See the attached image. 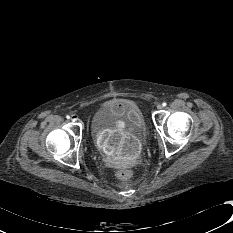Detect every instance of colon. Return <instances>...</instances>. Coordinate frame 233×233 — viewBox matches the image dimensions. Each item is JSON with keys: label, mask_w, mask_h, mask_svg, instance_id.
<instances>
[{"label": "colon", "mask_w": 233, "mask_h": 233, "mask_svg": "<svg viewBox=\"0 0 233 233\" xmlns=\"http://www.w3.org/2000/svg\"><path fill=\"white\" fill-rule=\"evenodd\" d=\"M116 176L121 181H129L132 178V173L127 169H120L117 171Z\"/></svg>", "instance_id": "1"}]
</instances>
